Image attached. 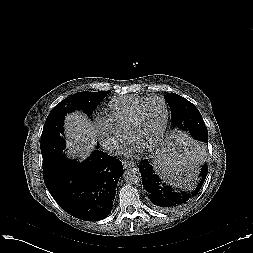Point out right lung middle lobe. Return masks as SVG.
<instances>
[{
  "label": "right lung middle lobe",
  "mask_w": 253,
  "mask_h": 253,
  "mask_svg": "<svg viewBox=\"0 0 253 253\" xmlns=\"http://www.w3.org/2000/svg\"><path fill=\"white\" fill-rule=\"evenodd\" d=\"M109 92H78L57 104L48 115L41 135L43 165L53 164L65 157L63 133L64 116L81 110L90 116Z\"/></svg>",
  "instance_id": "1"
}]
</instances>
